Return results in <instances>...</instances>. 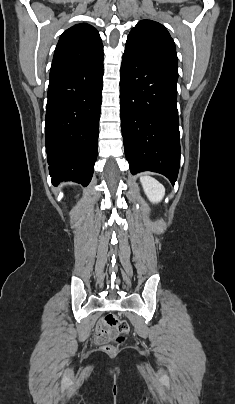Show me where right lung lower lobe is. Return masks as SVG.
<instances>
[{
    "instance_id": "1",
    "label": "right lung lower lobe",
    "mask_w": 235,
    "mask_h": 404,
    "mask_svg": "<svg viewBox=\"0 0 235 404\" xmlns=\"http://www.w3.org/2000/svg\"><path fill=\"white\" fill-rule=\"evenodd\" d=\"M103 59L50 71L46 151L53 184H89L97 158Z\"/></svg>"
}]
</instances>
